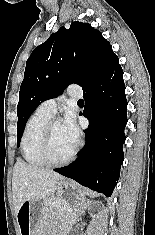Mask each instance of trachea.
Here are the masks:
<instances>
[{"label":"trachea","mask_w":155,"mask_h":235,"mask_svg":"<svg viewBox=\"0 0 155 235\" xmlns=\"http://www.w3.org/2000/svg\"><path fill=\"white\" fill-rule=\"evenodd\" d=\"M78 103H83V100L82 99L78 100Z\"/></svg>","instance_id":"1"}]
</instances>
